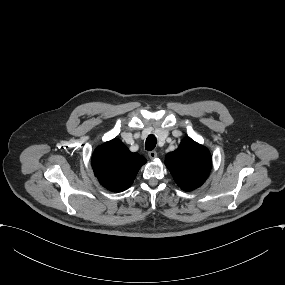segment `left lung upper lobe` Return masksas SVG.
<instances>
[{"instance_id": "5c2ea615", "label": "left lung upper lobe", "mask_w": 285, "mask_h": 285, "mask_svg": "<svg viewBox=\"0 0 285 285\" xmlns=\"http://www.w3.org/2000/svg\"><path fill=\"white\" fill-rule=\"evenodd\" d=\"M165 164L177 185L184 191H192L207 179L212 159L207 148L185 138L175 151L166 155Z\"/></svg>"}]
</instances>
